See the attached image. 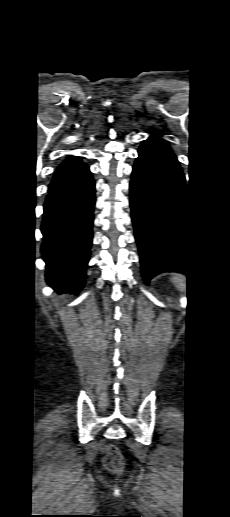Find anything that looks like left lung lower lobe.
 I'll list each match as a JSON object with an SVG mask.
<instances>
[{
	"label": "left lung lower lobe",
	"instance_id": "left-lung-lower-lobe-1",
	"mask_svg": "<svg viewBox=\"0 0 230 517\" xmlns=\"http://www.w3.org/2000/svg\"><path fill=\"white\" fill-rule=\"evenodd\" d=\"M130 182L135 238L146 284L162 272H189L184 236L185 176L163 140L149 137L138 150Z\"/></svg>",
	"mask_w": 230,
	"mask_h": 517
}]
</instances>
